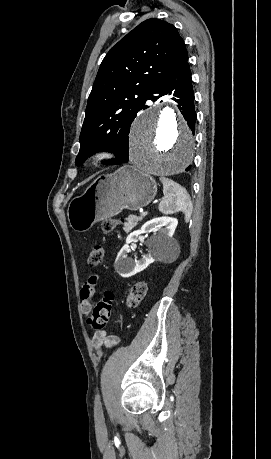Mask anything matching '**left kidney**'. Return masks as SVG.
<instances>
[{
	"mask_svg": "<svg viewBox=\"0 0 271 459\" xmlns=\"http://www.w3.org/2000/svg\"><path fill=\"white\" fill-rule=\"evenodd\" d=\"M177 224L178 220H176V218H166V216H164V218H153V220L145 222L141 229L131 231L128 237H126L125 245L121 247L115 259L118 273H120L122 277H130V275H135L138 271L145 269L149 263L155 261L154 257H158L161 253L164 255L167 251H172V253L176 251V241H174L172 235L177 228ZM155 228H161V233L152 237L149 253L142 255L141 259H129V257H127V251L130 247L129 243L135 241L140 233H148L150 229Z\"/></svg>",
	"mask_w": 271,
	"mask_h": 459,
	"instance_id": "left-kidney-1",
	"label": "left kidney"
}]
</instances>
